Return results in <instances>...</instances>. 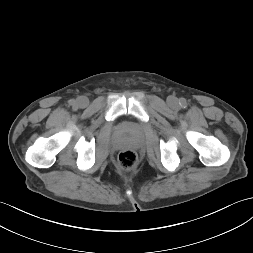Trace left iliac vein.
Masks as SVG:
<instances>
[{
	"mask_svg": "<svg viewBox=\"0 0 253 253\" xmlns=\"http://www.w3.org/2000/svg\"><path fill=\"white\" fill-rule=\"evenodd\" d=\"M167 102L170 106H176L177 105V99L175 97H172V96L168 98Z\"/></svg>",
	"mask_w": 253,
	"mask_h": 253,
	"instance_id": "4c4485c4",
	"label": "left iliac vein"
}]
</instances>
